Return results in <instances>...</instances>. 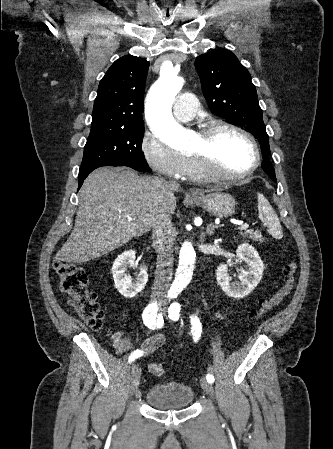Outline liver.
Masks as SVG:
<instances>
[{"label":"liver","instance_id":"6515ba94","mask_svg":"<svg viewBox=\"0 0 333 449\" xmlns=\"http://www.w3.org/2000/svg\"><path fill=\"white\" fill-rule=\"evenodd\" d=\"M178 189L176 183L139 177L131 169L94 170L79 191L75 227L58 252L59 259L87 262L142 236L156 215L174 213Z\"/></svg>","mask_w":333,"mask_h":449}]
</instances>
